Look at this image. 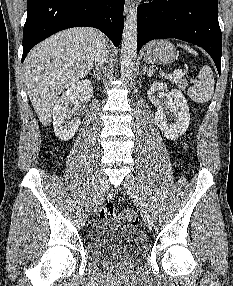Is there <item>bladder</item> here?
I'll use <instances>...</instances> for the list:
<instances>
[{"label": "bladder", "mask_w": 233, "mask_h": 286, "mask_svg": "<svg viewBox=\"0 0 233 286\" xmlns=\"http://www.w3.org/2000/svg\"><path fill=\"white\" fill-rule=\"evenodd\" d=\"M91 259L105 265L136 266L146 258L149 246L143 233L112 218H101L88 237Z\"/></svg>", "instance_id": "1"}]
</instances>
